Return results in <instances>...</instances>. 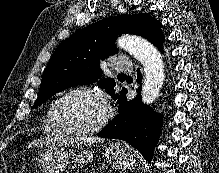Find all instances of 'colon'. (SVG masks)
Returning <instances> with one entry per match:
<instances>
[{"instance_id": "1", "label": "colon", "mask_w": 219, "mask_h": 173, "mask_svg": "<svg viewBox=\"0 0 219 173\" xmlns=\"http://www.w3.org/2000/svg\"><path fill=\"white\" fill-rule=\"evenodd\" d=\"M30 173H36V172H34V171H31Z\"/></svg>"}]
</instances>
